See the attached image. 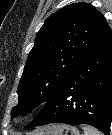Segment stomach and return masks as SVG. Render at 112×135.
<instances>
[{"label": "stomach", "mask_w": 112, "mask_h": 135, "mask_svg": "<svg viewBox=\"0 0 112 135\" xmlns=\"http://www.w3.org/2000/svg\"><path fill=\"white\" fill-rule=\"evenodd\" d=\"M38 135H80L79 130L69 125H53L42 130Z\"/></svg>", "instance_id": "stomach-1"}]
</instances>
